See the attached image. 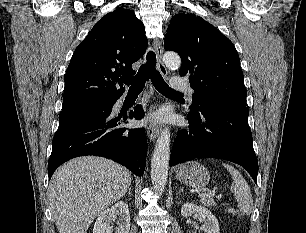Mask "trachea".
Masks as SVG:
<instances>
[{"mask_svg": "<svg viewBox=\"0 0 306 233\" xmlns=\"http://www.w3.org/2000/svg\"><path fill=\"white\" fill-rule=\"evenodd\" d=\"M147 62L143 64L138 70L135 76L122 78L121 81L126 85H130L129 92H140L145 86V82L151 78L154 87L162 94L166 95H179L177 92L171 89L162 78L159 71L156 70V55L153 51H149L147 54Z\"/></svg>", "mask_w": 306, "mask_h": 233, "instance_id": "trachea-1", "label": "trachea"}]
</instances>
